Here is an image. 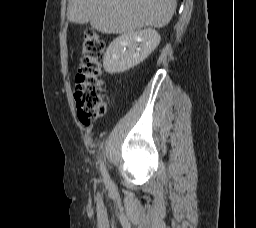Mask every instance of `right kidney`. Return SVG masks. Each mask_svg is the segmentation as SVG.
<instances>
[{
	"label": "right kidney",
	"mask_w": 256,
	"mask_h": 228,
	"mask_svg": "<svg viewBox=\"0 0 256 228\" xmlns=\"http://www.w3.org/2000/svg\"><path fill=\"white\" fill-rule=\"evenodd\" d=\"M155 29L137 30L114 39L103 58L104 70L109 74L122 73L141 63L160 43Z\"/></svg>",
	"instance_id": "right-kidney-1"
}]
</instances>
